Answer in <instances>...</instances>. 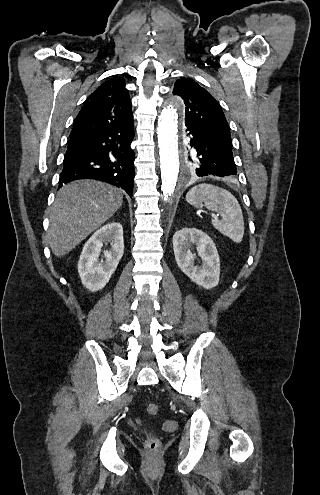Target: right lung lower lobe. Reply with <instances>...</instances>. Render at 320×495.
<instances>
[{
  "label": "right lung lower lobe",
  "instance_id": "1",
  "mask_svg": "<svg viewBox=\"0 0 320 495\" xmlns=\"http://www.w3.org/2000/svg\"><path fill=\"white\" fill-rule=\"evenodd\" d=\"M133 122L71 137L64 156L59 188L77 179L101 180L132 197L134 184Z\"/></svg>",
  "mask_w": 320,
  "mask_h": 495
}]
</instances>
